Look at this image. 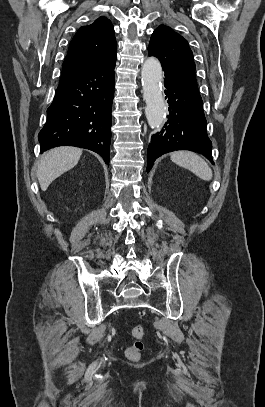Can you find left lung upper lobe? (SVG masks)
<instances>
[{
  "mask_svg": "<svg viewBox=\"0 0 265 407\" xmlns=\"http://www.w3.org/2000/svg\"><path fill=\"white\" fill-rule=\"evenodd\" d=\"M148 53L160 60L165 76H171L199 92L193 53L186 39L170 27L160 25L151 36Z\"/></svg>",
  "mask_w": 265,
  "mask_h": 407,
  "instance_id": "left-lung-upper-lobe-1",
  "label": "left lung upper lobe"
}]
</instances>
